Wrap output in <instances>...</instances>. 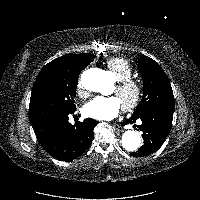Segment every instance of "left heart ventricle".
I'll list each match as a JSON object with an SVG mask.
<instances>
[{"label": "left heart ventricle", "instance_id": "1", "mask_svg": "<svg viewBox=\"0 0 200 200\" xmlns=\"http://www.w3.org/2000/svg\"><path fill=\"white\" fill-rule=\"evenodd\" d=\"M114 93L117 95L121 103H123L124 101L128 100L131 97V93L129 92L124 94H118L116 88L114 89Z\"/></svg>", "mask_w": 200, "mask_h": 200}]
</instances>
